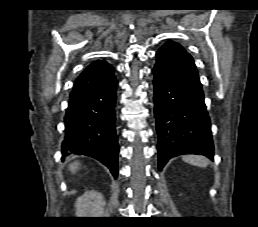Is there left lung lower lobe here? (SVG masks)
Returning a JSON list of instances; mask_svg holds the SVG:
<instances>
[{"instance_id": "left-lung-lower-lobe-1", "label": "left lung lower lobe", "mask_w": 258, "mask_h": 227, "mask_svg": "<svg viewBox=\"0 0 258 227\" xmlns=\"http://www.w3.org/2000/svg\"><path fill=\"white\" fill-rule=\"evenodd\" d=\"M154 114L160 170L186 153L214 158L211 123L193 58L180 46L164 44L156 52Z\"/></svg>"}]
</instances>
